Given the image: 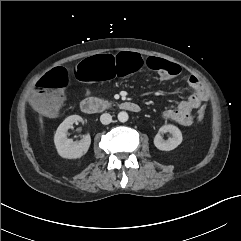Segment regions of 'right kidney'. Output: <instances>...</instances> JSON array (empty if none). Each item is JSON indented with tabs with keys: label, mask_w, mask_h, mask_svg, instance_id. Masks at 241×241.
Segmentation results:
<instances>
[{
	"label": "right kidney",
	"mask_w": 241,
	"mask_h": 241,
	"mask_svg": "<svg viewBox=\"0 0 241 241\" xmlns=\"http://www.w3.org/2000/svg\"><path fill=\"white\" fill-rule=\"evenodd\" d=\"M82 121L79 115L67 117L57 128L54 136V143L58 154L62 158L77 159L85 155L91 144L90 135H85L79 142L67 138V131L74 123Z\"/></svg>",
	"instance_id": "obj_1"
}]
</instances>
